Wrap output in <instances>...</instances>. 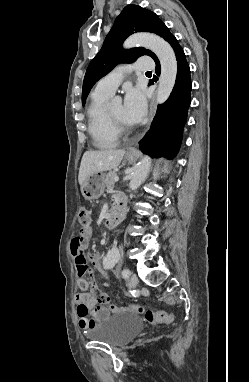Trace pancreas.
<instances>
[{
    "label": "pancreas",
    "instance_id": "1",
    "mask_svg": "<svg viewBox=\"0 0 249 382\" xmlns=\"http://www.w3.org/2000/svg\"><path fill=\"white\" fill-rule=\"evenodd\" d=\"M117 176V173L116 171H110L104 182H103V185L105 188H107L108 190L112 189L114 187V184H115V181H114V177Z\"/></svg>",
    "mask_w": 249,
    "mask_h": 382
}]
</instances>
